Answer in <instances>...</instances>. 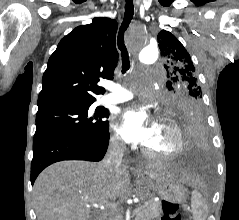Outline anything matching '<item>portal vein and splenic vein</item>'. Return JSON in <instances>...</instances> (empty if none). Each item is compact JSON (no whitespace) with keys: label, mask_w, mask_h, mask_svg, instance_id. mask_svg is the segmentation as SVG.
Instances as JSON below:
<instances>
[{"label":"portal vein and splenic vein","mask_w":239,"mask_h":220,"mask_svg":"<svg viewBox=\"0 0 239 220\" xmlns=\"http://www.w3.org/2000/svg\"><path fill=\"white\" fill-rule=\"evenodd\" d=\"M111 207H112V208H115V205L113 204ZM137 211H138V209L136 208V209L134 210V213H136ZM115 220H117V219H115Z\"/></svg>","instance_id":"portal-vein-and-splenic-vein-1"}]
</instances>
